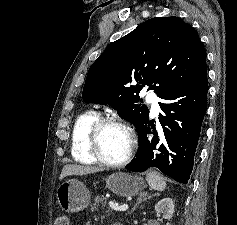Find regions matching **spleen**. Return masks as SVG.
Masks as SVG:
<instances>
[{
	"label": "spleen",
	"instance_id": "spleen-1",
	"mask_svg": "<svg viewBox=\"0 0 237 225\" xmlns=\"http://www.w3.org/2000/svg\"><path fill=\"white\" fill-rule=\"evenodd\" d=\"M146 180L149 186L154 190L162 191L166 187L165 180L156 171H149L147 173Z\"/></svg>",
	"mask_w": 237,
	"mask_h": 225
}]
</instances>
